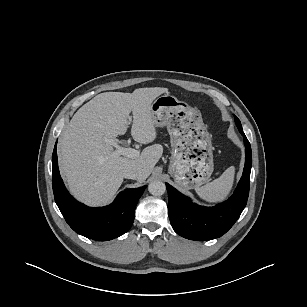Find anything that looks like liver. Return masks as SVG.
Instances as JSON below:
<instances>
[{
    "label": "liver",
    "mask_w": 307,
    "mask_h": 307,
    "mask_svg": "<svg viewBox=\"0 0 307 307\" xmlns=\"http://www.w3.org/2000/svg\"><path fill=\"white\" fill-rule=\"evenodd\" d=\"M167 88H139L133 93L105 92L84 104L66 125L58 144L59 168L70 192L79 201L100 206L108 203L123 182V170L136 169L144 181L163 153L160 144L144 148L138 158L113 154V143L126 133L132 111L131 135L141 144L156 139L152 102Z\"/></svg>",
    "instance_id": "obj_1"
}]
</instances>
